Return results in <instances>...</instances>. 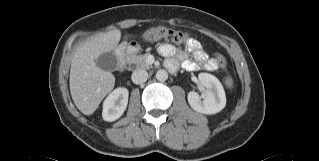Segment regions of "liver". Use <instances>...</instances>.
I'll use <instances>...</instances> for the list:
<instances>
[{
    "mask_svg": "<svg viewBox=\"0 0 319 161\" xmlns=\"http://www.w3.org/2000/svg\"><path fill=\"white\" fill-rule=\"evenodd\" d=\"M120 39L118 29L98 34L79 46L73 55L70 93L76 107L85 115H91L114 88V75L100 69L96 60L101 54L113 51Z\"/></svg>",
    "mask_w": 319,
    "mask_h": 161,
    "instance_id": "obj_1",
    "label": "liver"
}]
</instances>
